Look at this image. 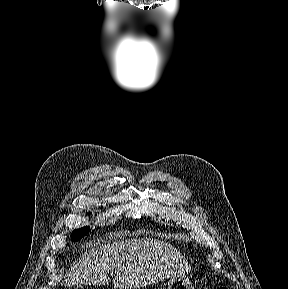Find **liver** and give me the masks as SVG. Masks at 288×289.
Returning <instances> with one entry per match:
<instances>
[{
    "mask_svg": "<svg viewBox=\"0 0 288 289\" xmlns=\"http://www.w3.org/2000/svg\"><path fill=\"white\" fill-rule=\"evenodd\" d=\"M93 245L66 272L65 285H106L108 275L117 273L115 288L136 289L191 270L182 254L164 241L133 238Z\"/></svg>",
    "mask_w": 288,
    "mask_h": 289,
    "instance_id": "liver-1",
    "label": "liver"
}]
</instances>
